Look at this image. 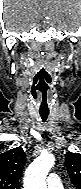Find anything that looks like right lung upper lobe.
<instances>
[{
  "instance_id": "1",
  "label": "right lung upper lobe",
  "mask_w": 81,
  "mask_h": 189,
  "mask_svg": "<svg viewBox=\"0 0 81 189\" xmlns=\"http://www.w3.org/2000/svg\"><path fill=\"white\" fill-rule=\"evenodd\" d=\"M26 155L21 147L0 154V189H19Z\"/></svg>"
}]
</instances>
